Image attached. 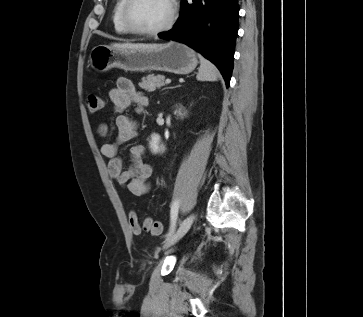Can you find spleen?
<instances>
[{"label": "spleen", "mask_w": 363, "mask_h": 317, "mask_svg": "<svg viewBox=\"0 0 363 317\" xmlns=\"http://www.w3.org/2000/svg\"><path fill=\"white\" fill-rule=\"evenodd\" d=\"M200 68L196 76L199 81H216L219 77V71L213 63L199 55Z\"/></svg>", "instance_id": "obj_1"}]
</instances>
